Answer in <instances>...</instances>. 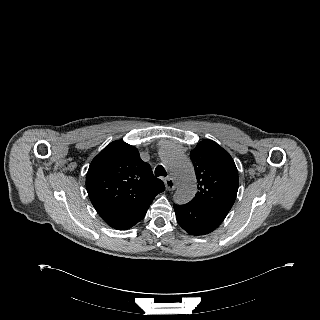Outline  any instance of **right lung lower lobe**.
Listing matches in <instances>:
<instances>
[{
    "mask_svg": "<svg viewBox=\"0 0 320 320\" xmlns=\"http://www.w3.org/2000/svg\"><path fill=\"white\" fill-rule=\"evenodd\" d=\"M146 212L138 214L136 216H133L131 218L120 220V221H114L109 223L108 225L112 228L118 229V230H126L134 226L136 223H138L140 220H142L145 216Z\"/></svg>",
    "mask_w": 320,
    "mask_h": 320,
    "instance_id": "obj_1",
    "label": "right lung lower lobe"
}]
</instances>
